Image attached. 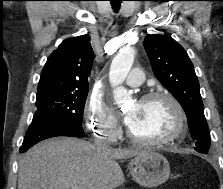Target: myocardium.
I'll use <instances>...</instances> for the list:
<instances>
[{
	"label": "myocardium",
	"mask_w": 223,
	"mask_h": 189,
	"mask_svg": "<svg viewBox=\"0 0 223 189\" xmlns=\"http://www.w3.org/2000/svg\"><path fill=\"white\" fill-rule=\"evenodd\" d=\"M153 99H164L169 102L174 110L176 123L174 129L167 135L157 137V138H144L136 135L130 127L127 128V136L134 142L145 145H160L173 142L180 138L186 129L187 116L186 112L180 103V101L170 92L167 91H151L144 94L139 102H146Z\"/></svg>",
	"instance_id": "myocardium-1"
}]
</instances>
